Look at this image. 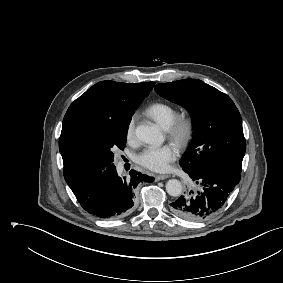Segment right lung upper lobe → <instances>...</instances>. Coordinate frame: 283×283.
I'll return each mask as SVG.
<instances>
[{"instance_id": "obj_1", "label": "right lung upper lobe", "mask_w": 283, "mask_h": 283, "mask_svg": "<svg viewBox=\"0 0 283 283\" xmlns=\"http://www.w3.org/2000/svg\"><path fill=\"white\" fill-rule=\"evenodd\" d=\"M154 84L101 81L70 105L63 119L59 139L64 178L70 187L100 171L94 162L69 147L68 136L72 127L78 123L114 119L135 112Z\"/></svg>"}]
</instances>
